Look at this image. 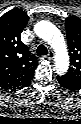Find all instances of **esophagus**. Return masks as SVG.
Masks as SVG:
<instances>
[{
	"label": "esophagus",
	"mask_w": 81,
	"mask_h": 124,
	"mask_svg": "<svg viewBox=\"0 0 81 124\" xmlns=\"http://www.w3.org/2000/svg\"><path fill=\"white\" fill-rule=\"evenodd\" d=\"M54 58V52L50 50L47 54V59L52 60Z\"/></svg>",
	"instance_id": "34e87169"
}]
</instances>
